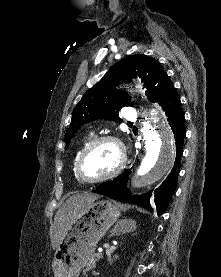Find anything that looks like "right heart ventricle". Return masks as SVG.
<instances>
[{"label": "right heart ventricle", "instance_id": "right-heart-ventricle-1", "mask_svg": "<svg viewBox=\"0 0 221 277\" xmlns=\"http://www.w3.org/2000/svg\"><path fill=\"white\" fill-rule=\"evenodd\" d=\"M91 140H92V136H91V135L87 136V137L82 141V143H81L80 146L77 148V150H76V152H75V154H74V157H73V165H72V166H73V173H74L76 179H78L77 176H76V173H75V163H76V160H77V158H78L80 152L82 151V149H83ZM78 180H79V179H78Z\"/></svg>", "mask_w": 221, "mask_h": 277}]
</instances>
